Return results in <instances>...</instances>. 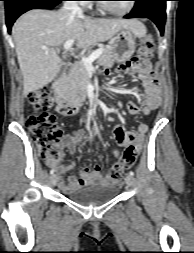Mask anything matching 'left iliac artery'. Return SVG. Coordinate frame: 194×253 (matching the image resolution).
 <instances>
[{
  "instance_id": "left-iliac-artery-1",
  "label": "left iliac artery",
  "mask_w": 194,
  "mask_h": 253,
  "mask_svg": "<svg viewBox=\"0 0 194 253\" xmlns=\"http://www.w3.org/2000/svg\"><path fill=\"white\" fill-rule=\"evenodd\" d=\"M129 175L134 176V172H133V171H130V172H129Z\"/></svg>"
}]
</instances>
